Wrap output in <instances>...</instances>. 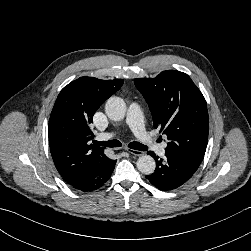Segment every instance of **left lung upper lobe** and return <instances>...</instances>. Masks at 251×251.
<instances>
[{
    "label": "left lung upper lobe",
    "mask_w": 251,
    "mask_h": 251,
    "mask_svg": "<svg viewBox=\"0 0 251 251\" xmlns=\"http://www.w3.org/2000/svg\"><path fill=\"white\" fill-rule=\"evenodd\" d=\"M135 86L151 110L154 127L167 135L165 152L200 165L208 141V110L191 78L167 70L155 78H137Z\"/></svg>",
    "instance_id": "5c2ea615"
}]
</instances>
